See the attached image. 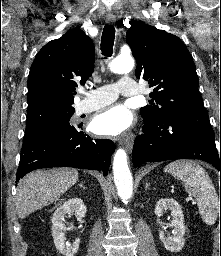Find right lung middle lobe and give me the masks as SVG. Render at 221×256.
<instances>
[{
    "label": "right lung middle lobe",
    "mask_w": 221,
    "mask_h": 256,
    "mask_svg": "<svg viewBox=\"0 0 221 256\" xmlns=\"http://www.w3.org/2000/svg\"><path fill=\"white\" fill-rule=\"evenodd\" d=\"M74 111L75 109L72 107H65L28 112L25 134L31 133L50 123L69 121Z\"/></svg>",
    "instance_id": "dd1d6c3e"
}]
</instances>
